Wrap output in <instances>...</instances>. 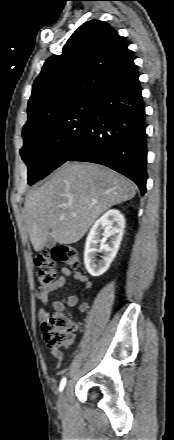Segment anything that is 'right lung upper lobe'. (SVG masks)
<instances>
[{
  "mask_svg": "<svg viewBox=\"0 0 174 440\" xmlns=\"http://www.w3.org/2000/svg\"><path fill=\"white\" fill-rule=\"evenodd\" d=\"M134 61L127 44L108 23L90 20L69 38L61 55L44 63L28 102L23 130L47 116L92 96L103 82Z\"/></svg>",
  "mask_w": 174,
  "mask_h": 440,
  "instance_id": "1",
  "label": "right lung upper lobe"
}]
</instances>
